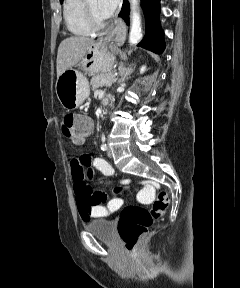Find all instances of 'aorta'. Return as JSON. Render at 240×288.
I'll return each instance as SVG.
<instances>
[{"mask_svg":"<svg viewBox=\"0 0 240 288\" xmlns=\"http://www.w3.org/2000/svg\"><path fill=\"white\" fill-rule=\"evenodd\" d=\"M131 3V27L129 33L130 45H136L142 39L141 17L138 10L139 0H129Z\"/></svg>","mask_w":240,"mask_h":288,"instance_id":"1","label":"aorta"}]
</instances>
